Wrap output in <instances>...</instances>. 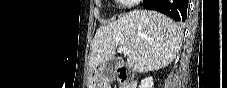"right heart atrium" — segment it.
I'll use <instances>...</instances> for the list:
<instances>
[{
  "mask_svg": "<svg viewBox=\"0 0 227 88\" xmlns=\"http://www.w3.org/2000/svg\"><path fill=\"white\" fill-rule=\"evenodd\" d=\"M121 2L128 7H133L139 2V0H121Z\"/></svg>",
  "mask_w": 227,
  "mask_h": 88,
  "instance_id": "right-heart-atrium-1",
  "label": "right heart atrium"
}]
</instances>
